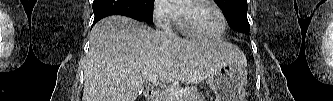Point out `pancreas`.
Returning a JSON list of instances; mask_svg holds the SVG:
<instances>
[{
    "instance_id": "pancreas-1",
    "label": "pancreas",
    "mask_w": 333,
    "mask_h": 101,
    "mask_svg": "<svg viewBox=\"0 0 333 101\" xmlns=\"http://www.w3.org/2000/svg\"><path fill=\"white\" fill-rule=\"evenodd\" d=\"M187 94L183 96L182 101H204L202 93L198 92L195 87L186 88ZM162 101H179L171 93L166 92L162 95Z\"/></svg>"
}]
</instances>
